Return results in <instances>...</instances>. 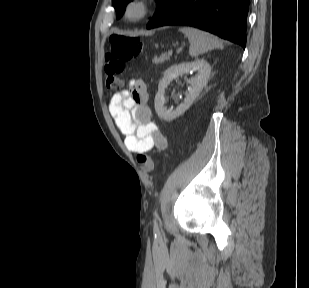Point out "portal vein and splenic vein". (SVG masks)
Segmentation results:
<instances>
[{"mask_svg": "<svg viewBox=\"0 0 309 288\" xmlns=\"http://www.w3.org/2000/svg\"><path fill=\"white\" fill-rule=\"evenodd\" d=\"M173 54V50L168 51V56H171Z\"/></svg>", "mask_w": 309, "mask_h": 288, "instance_id": "18ae733b", "label": "portal vein and splenic vein"}]
</instances>
